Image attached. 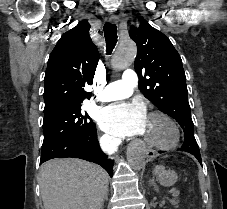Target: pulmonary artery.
<instances>
[{
	"instance_id": "pulmonary-artery-1",
	"label": "pulmonary artery",
	"mask_w": 227,
	"mask_h": 209,
	"mask_svg": "<svg viewBox=\"0 0 227 209\" xmlns=\"http://www.w3.org/2000/svg\"><path fill=\"white\" fill-rule=\"evenodd\" d=\"M135 83H137L136 73H133V70H124L123 79L117 81L116 84L106 82L103 83L106 87L98 88L99 92H105L99 100L109 102L128 97L132 94Z\"/></svg>"
}]
</instances>
